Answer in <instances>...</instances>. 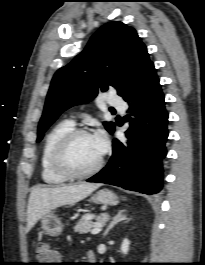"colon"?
<instances>
[{"label": "colon", "mask_w": 205, "mask_h": 265, "mask_svg": "<svg viewBox=\"0 0 205 265\" xmlns=\"http://www.w3.org/2000/svg\"><path fill=\"white\" fill-rule=\"evenodd\" d=\"M36 257L39 265H57L60 254L56 248L48 244H40L36 248Z\"/></svg>", "instance_id": "colon-1"}]
</instances>
